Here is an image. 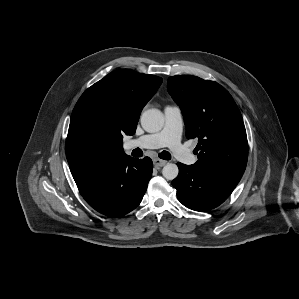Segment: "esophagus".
Returning a JSON list of instances; mask_svg holds the SVG:
<instances>
[{"mask_svg": "<svg viewBox=\"0 0 299 299\" xmlns=\"http://www.w3.org/2000/svg\"><path fill=\"white\" fill-rule=\"evenodd\" d=\"M153 164L156 166V167H162L166 164V161L165 160H162V159H159V158H154L153 159Z\"/></svg>", "mask_w": 299, "mask_h": 299, "instance_id": "esophagus-1", "label": "esophagus"}]
</instances>
